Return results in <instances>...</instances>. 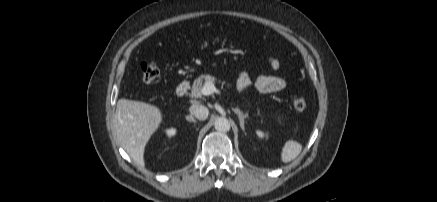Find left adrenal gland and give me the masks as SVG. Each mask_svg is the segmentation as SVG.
Instances as JSON below:
<instances>
[{"label":"left adrenal gland","mask_w":437,"mask_h":202,"mask_svg":"<svg viewBox=\"0 0 437 202\" xmlns=\"http://www.w3.org/2000/svg\"><path fill=\"white\" fill-rule=\"evenodd\" d=\"M232 110H233V112H235L238 115V119H239V122H240V127H241L242 131L245 132V127H244V123L245 122H244V120L248 117V114L247 113L244 114L238 108H233Z\"/></svg>","instance_id":"obj_1"}]
</instances>
